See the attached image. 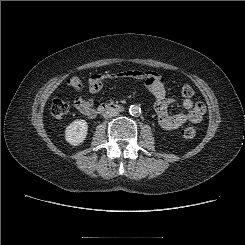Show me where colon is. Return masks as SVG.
Here are the masks:
<instances>
[{
  "mask_svg": "<svg viewBox=\"0 0 245 245\" xmlns=\"http://www.w3.org/2000/svg\"><path fill=\"white\" fill-rule=\"evenodd\" d=\"M68 86L73 90H81L84 87L83 79L80 75L74 74L70 76L67 80ZM181 94L185 98H190L194 95V90L190 85H184L181 89ZM68 104L62 99H54L51 104V113L55 117H61L68 113ZM196 134V129L194 127H186L182 130V135L184 138H193Z\"/></svg>",
  "mask_w": 245,
  "mask_h": 245,
  "instance_id": "5ec220e1",
  "label": "colon"
}]
</instances>
